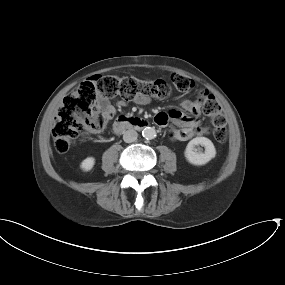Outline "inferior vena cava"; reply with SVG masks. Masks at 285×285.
Listing matches in <instances>:
<instances>
[{
  "mask_svg": "<svg viewBox=\"0 0 285 285\" xmlns=\"http://www.w3.org/2000/svg\"><path fill=\"white\" fill-rule=\"evenodd\" d=\"M137 137H138V133L133 129L127 130L123 134V140L126 143L134 142L137 139Z\"/></svg>",
  "mask_w": 285,
  "mask_h": 285,
  "instance_id": "inferior-vena-cava-1",
  "label": "inferior vena cava"
}]
</instances>
